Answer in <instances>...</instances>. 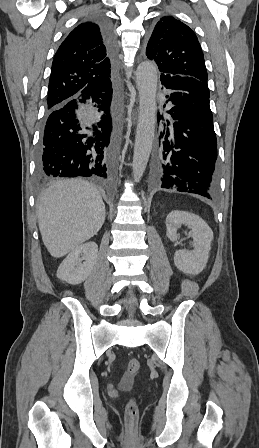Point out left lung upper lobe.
<instances>
[{"label": "left lung upper lobe", "mask_w": 259, "mask_h": 448, "mask_svg": "<svg viewBox=\"0 0 259 448\" xmlns=\"http://www.w3.org/2000/svg\"><path fill=\"white\" fill-rule=\"evenodd\" d=\"M146 56L161 73L191 76L207 83L204 55L196 34L172 16L158 21L149 39Z\"/></svg>", "instance_id": "1"}]
</instances>
